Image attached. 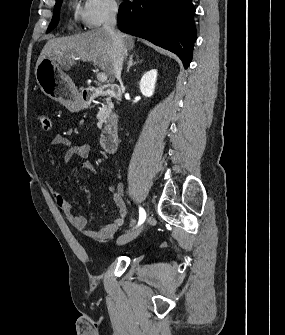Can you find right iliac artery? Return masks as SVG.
I'll use <instances>...</instances> for the list:
<instances>
[{
	"mask_svg": "<svg viewBox=\"0 0 285 335\" xmlns=\"http://www.w3.org/2000/svg\"><path fill=\"white\" fill-rule=\"evenodd\" d=\"M139 215L138 225L142 224L146 219V212L142 207L139 208Z\"/></svg>",
	"mask_w": 285,
	"mask_h": 335,
	"instance_id": "82829eb1",
	"label": "right iliac artery"
}]
</instances>
